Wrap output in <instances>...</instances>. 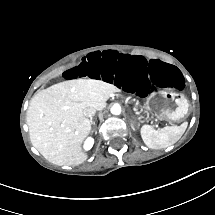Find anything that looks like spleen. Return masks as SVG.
I'll return each mask as SVG.
<instances>
[{"instance_id": "1", "label": "spleen", "mask_w": 215, "mask_h": 215, "mask_svg": "<svg viewBox=\"0 0 215 215\" xmlns=\"http://www.w3.org/2000/svg\"><path fill=\"white\" fill-rule=\"evenodd\" d=\"M141 137L149 148L160 149L176 143L181 134L177 126H166L160 130H155L151 125H143Z\"/></svg>"}]
</instances>
